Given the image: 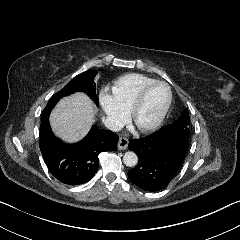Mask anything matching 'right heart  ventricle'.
<instances>
[{
    "instance_id": "obj_1",
    "label": "right heart ventricle",
    "mask_w": 240,
    "mask_h": 240,
    "mask_svg": "<svg viewBox=\"0 0 240 240\" xmlns=\"http://www.w3.org/2000/svg\"><path fill=\"white\" fill-rule=\"evenodd\" d=\"M153 81L140 74L124 75L105 87L103 100L125 112L131 107L140 90Z\"/></svg>"
}]
</instances>
